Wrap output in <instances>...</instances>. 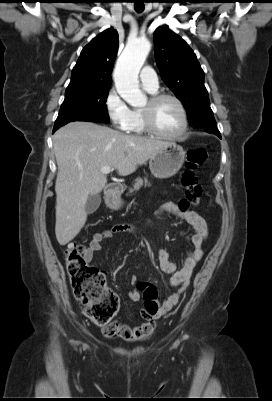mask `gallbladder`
<instances>
[{
	"mask_svg": "<svg viewBox=\"0 0 272 401\" xmlns=\"http://www.w3.org/2000/svg\"><path fill=\"white\" fill-rule=\"evenodd\" d=\"M101 203V196L99 194H91L88 196L87 202L85 204V210L87 214H92L95 212Z\"/></svg>",
	"mask_w": 272,
	"mask_h": 401,
	"instance_id": "1",
	"label": "gallbladder"
}]
</instances>
